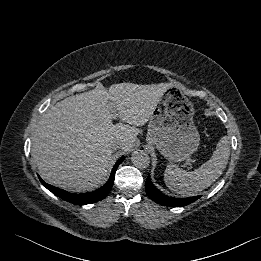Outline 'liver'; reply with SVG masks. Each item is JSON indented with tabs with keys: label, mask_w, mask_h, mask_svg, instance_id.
I'll return each mask as SVG.
<instances>
[{
	"label": "liver",
	"mask_w": 261,
	"mask_h": 261,
	"mask_svg": "<svg viewBox=\"0 0 261 261\" xmlns=\"http://www.w3.org/2000/svg\"><path fill=\"white\" fill-rule=\"evenodd\" d=\"M172 83H119L70 96L48 109L32 139V158L48 183L72 192L93 191L111 168L112 144L136 143L159 98ZM119 117L123 123L113 124Z\"/></svg>",
	"instance_id": "6515ba94"
}]
</instances>
